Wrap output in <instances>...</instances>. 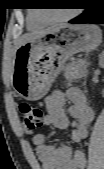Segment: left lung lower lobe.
Wrapping results in <instances>:
<instances>
[{
  "mask_svg": "<svg viewBox=\"0 0 104 169\" xmlns=\"http://www.w3.org/2000/svg\"><path fill=\"white\" fill-rule=\"evenodd\" d=\"M87 8L79 17L71 20L69 23L73 24H104V8L99 0H89L86 4Z\"/></svg>",
  "mask_w": 104,
  "mask_h": 169,
  "instance_id": "0a47b994",
  "label": "left lung lower lobe"
}]
</instances>
